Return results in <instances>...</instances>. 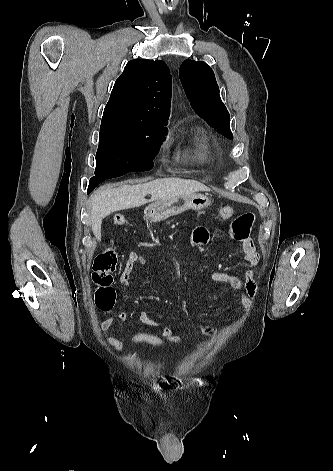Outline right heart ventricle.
I'll return each mask as SVG.
<instances>
[{
    "label": "right heart ventricle",
    "mask_w": 333,
    "mask_h": 471,
    "mask_svg": "<svg viewBox=\"0 0 333 471\" xmlns=\"http://www.w3.org/2000/svg\"><path fill=\"white\" fill-rule=\"evenodd\" d=\"M192 147L194 155L199 160H205L210 155V146L208 136L202 132L198 131L192 139Z\"/></svg>",
    "instance_id": "1"
}]
</instances>
